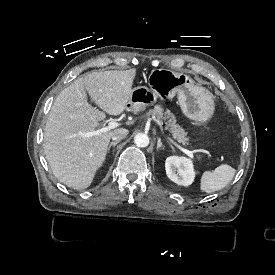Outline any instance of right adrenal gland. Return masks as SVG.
Here are the masks:
<instances>
[{"mask_svg":"<svg viewBox=\"0 0 275 275\" xmlns=\"http://www.w3.org/2000/svg\"><path fill=\"white\" fill-rule=\"evenodd\" d=\"M120 141L119 140H116V141H113L109 144L108 148H107V153H109L110 151V148L113 146L115 147Z\"/></svg>","mask_w":275,"mask_h":275,"instance_id":"right-adrenal-gland-1","label":"right adrenal gland"}]
</instances>
